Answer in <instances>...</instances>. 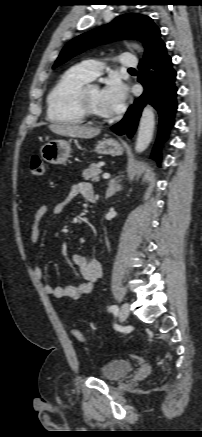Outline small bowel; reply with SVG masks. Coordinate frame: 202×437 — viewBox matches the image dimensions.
<instances>
[{
  "label": "small bowel",
  "mask_w": 202,
  "mask_h": 437,
  "mask_svg": "<svg viewBox=\"0 0 202 437\" xmlns=\"http://www.w3.org/2000/svg\"><path fill=\"white\" fill-rule=\"evenodd\" d=\"M77 195H81L88 201L91 196H95L93 187L89 183H79L71 188L66 199L56 201L51 205L45 204L39 207L35 213L31 227L30 239L32 244H37L39 241L40 226L44 217L49 212L55 215L61 214ZM72 261L78 267L83 281L78 285L56 287H53L50 283H43L42 289L46 294H51L56 298H69L72 300H78L92 292L95 282L102 275V266L100 261L97 259H88L86 256L79 253L72 256ZM34 275L38 280H42L43 271L39 265L35 266Z\"/></svg>",
  "instance_id": "1"
}]
</instances>
